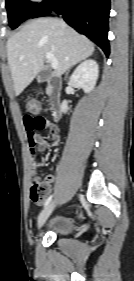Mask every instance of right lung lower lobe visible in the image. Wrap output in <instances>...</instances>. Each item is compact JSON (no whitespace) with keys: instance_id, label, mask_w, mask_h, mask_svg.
Instances as JSON below:
<instances>
[{"instance_id":"98d812e1","label":"right lung lower lobe","mask_w":134,"mask_h":281,"mask_svg":"<svg viewBox=\"0 0 134 281\" xmlns=\"http://www.w3.org/2000/svg\"><path fill=\"white\" fill-rule=\"evenodd\" d=\"M63 15L64 20L79 33L97 43L109 55L108 18L110 0H45L30 18L47 16L51 12Z\"/></svg>"}]
</instances>
